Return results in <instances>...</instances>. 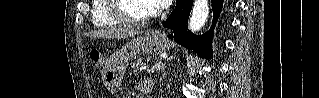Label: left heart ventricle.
I'll use <instances>...</instances> for the list:
<instances>
[{
    "label": "left heart ventricle",
    "mask_w": 319,
    "mask_h": 98,
    "mask_svg": "<svg viewBox=\"0 0 319 98\" xmlns=\"http://www.w3.org/2000/svg\"><path fill=\"white\" fill-rule=\"evenodd\" d=\"M119 5L121 12L132 19H141L151 13L149 2L145 0H122Z\"/></svg>",
    "instance_id": "1"
}]
</instances>
